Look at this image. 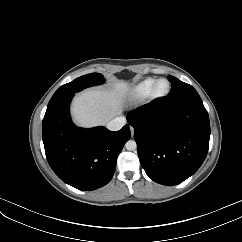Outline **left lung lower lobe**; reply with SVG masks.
Wrapping results in <instances>:
<instances>
[{
    "mask_svg": "<svg viewBox=\"0 0 242 242\" xmlns=\"http://www.w3.org/2000/svg\"><path fill=\"white\" fill-rule=\"evenodd\" d=\"M127 120L140 163L153 181L179 184L205 160L210 123L199 95L154 100L129 112Z\"/></svg>",
    "mask_w": 242,
    "mask_h": 242,
    "instance_id": "0a47b994",
    "label": "left lung lower lobe"
}]
</instances>
